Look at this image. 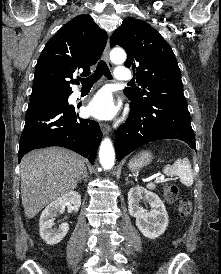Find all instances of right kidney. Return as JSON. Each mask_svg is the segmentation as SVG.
I'll return each mask as SVG.
<instances>
[{"instance_id": "obj_1", "label": "right kidney", "mask_w": 221, "mask_h": 274, "mask_svg": "<svg viewBox=\"0 0 221 274\" xmlns=\"http://www.w3.org/2000/svg\"><path fill=\"white\" fill-rule=\"evenodd\" d=\"M81 205V195L76 191L66 193L51 202L42 212L39 221L40 236L48 245L59 243L67 234L69 225L62 223L57 229L53 228L55 216L63 213L65 207L77 212Z\"/></svg>"}]
</instances>
